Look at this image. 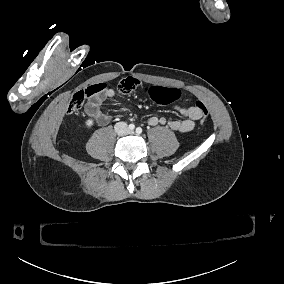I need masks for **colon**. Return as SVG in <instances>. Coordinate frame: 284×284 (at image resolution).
<instances>
[{
  "label": "colon",
  "instance_id": "1",
  "mask_svg": "<svg viewBox=\"0 0 284 284\" xmlns=\"http://www.w3.org/2000/svg\"><path fill=\"white\" fill-rule=\"evenodd\" d=\"M140 85V82L136 79H126L121 83L122 93L127 94L134 89H136ZM103 89V85L101 83L92 84L86 90L81 89L76 91L68 105L69 113H78L84 99L86 96H92L98 94ZM148 96L150 99L156 101L158 104H167L170 102L177 101L180 97V91L178 88H162L161 86H154L149 89ZM197 107H199L200 111L203 112V117L200 119V124H207L208 119L210 117L209 110L206 108L202 102H197Z\"/></svg>",
  "mask_w": 284,
  "mask_h": 284
}]
</instances>
